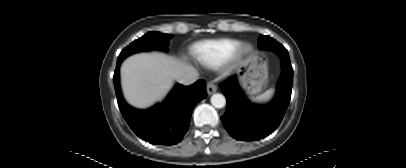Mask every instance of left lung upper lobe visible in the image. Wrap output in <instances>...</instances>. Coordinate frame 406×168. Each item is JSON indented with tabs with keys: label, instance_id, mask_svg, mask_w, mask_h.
<instances>
[{
	"label": "left lung upper lobe",
	"instance_id": "1",
	"mask_svg": "<svg viewBox=\"0 0 406 168\" xmlns=\"http://www.w3.org/2000/svg\"><path fill=\"white\" fill-rule=\"evenodd\" d=\"M259 48L262 49H269V50H274L278 54H287V50L282 46L280 43H278L276 40H274L271 37L268 36H260L259 38Z\"/></svg>",
	"mask_w": 406,
	"mask_h": 168
}]
</instances>
